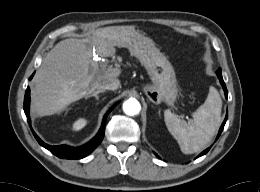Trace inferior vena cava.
<instances>
[{
    "instance_id": "inferior-vena-cava-1",
    "label": "inferior vena cava",
    "mask_w": 260,
    "mask_h": 192,
    "mask_svg": "<svg viewBox=\"0 0 260 192\" xmlns=\"http://www.w3.org/2000/svg\"><path fill=\"white\" fill-rule=\"evenodd\" d=\"M120 86V81L118 79H113L109 81L108 83L100 86V90H116Z\"/></svg>"
}]
</instances>
